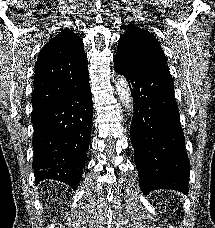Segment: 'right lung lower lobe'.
<instances>
[{
	"label": "right lung lower lobe",
	"mask_w": 215,
	"mask_h": 228,
	"mask_svg": "<svg viewBox=\"0 0 215 228\" xmlns=\"http://www.w3.org/2000/svg\"><path fill=\"white\" fill-rule=\"evenodd\" d=\"M89 75L68 84L66 94L32 114L35 182L53 179L76 189L92 128Z\"/></svg>",
	"instance_id": "right-lung-lower-lobe-1"
}]
</instances>
